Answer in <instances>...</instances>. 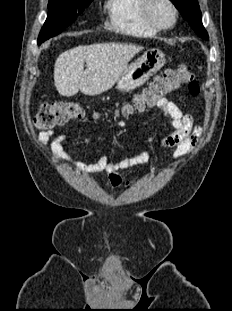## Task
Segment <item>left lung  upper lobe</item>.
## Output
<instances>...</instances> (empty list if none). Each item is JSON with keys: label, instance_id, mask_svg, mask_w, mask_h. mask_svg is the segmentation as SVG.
I'll return each mask as SVG.
<instances>
[{"label": "left lung upper lobe", "instance_id": "left-lung-upper-lobe-1", "mask_svg": "<svg viewBox=\"0 0 232 311\" xmlns=\"http://www.w3.org/2000/svg\"><path fill=\"white\" fill-rule=\"evenodd\" d=\"M187 20L194 31L202 38L208 39L207 31L202 24L201 11L197 0H171Z\"/></svg>", "mask_w": 232, "mask_h": 311}]
</instances>
